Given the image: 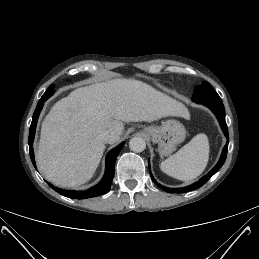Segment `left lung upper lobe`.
Returning a JSON list of instances; mask_svg holds the SVG:
<instances>
[{
	"instance_id": "1",
	"label": "left lung upper lobe",
	"mask_w": 259,
	"mask_h": 259,
	"mask_svg": "<svg viewBox=\"0 0 259 259\" xmlns=\"http://www.w3.org/2000/svg\"><path fill=\"white\" fill-rule=\"evenodd\" d=\"M192 100L196 103L220 102L221 98L215 92L211 84L204 81L201 85L195 88Z\"/></svg>"
}]
</instances>
